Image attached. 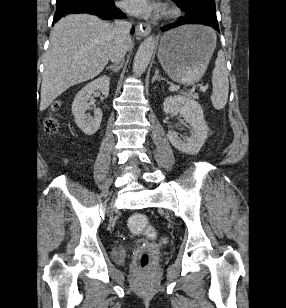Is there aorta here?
I'll list each match as a JSON object with an SVG mask.
<instances>
[{
    "label": "aorta",
    "mask_w": 286,
    "mask_h": 308,
    "mask_svg": "<svg viewBox=\"0 0 286 308\" xmlns=\"http://www.w3.org/2000/svg\"><path fill=\"white\" fill-rule=\"evenodd\" d=\"M155 51L154 36L147 37L139 46L133 61V73L141 75L147 69Z\"/></svg>",
    "instance_id": "762f6f07"
}]
</instances>
